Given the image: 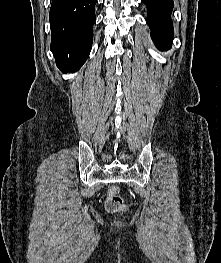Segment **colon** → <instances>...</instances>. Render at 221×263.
<instances>
[{
  "label": "colon",
  "instance_id": "1",
  "mask_svg": "<svg viewBox=\"0 0 221 263\" xmlns=\"http://www.w3.org/2000/svg\"><path fill=\"white\" fill-rule=\"evenodd\" d=\"M105 209L109 213H123L126 211V207L123 204V200L120 196L119 188L117 186H112L109 188L105 200Z\"/></svg>",
  "mask_w": 221,
  "mask_h": 263
}]
</instances>
